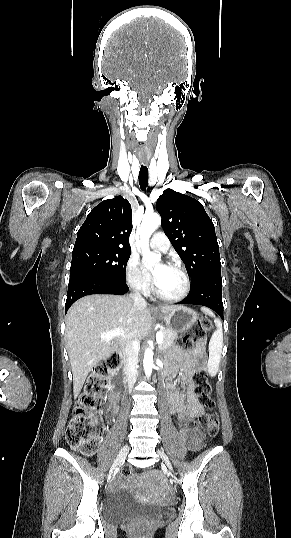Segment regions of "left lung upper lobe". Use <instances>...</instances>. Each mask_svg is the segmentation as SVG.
<instances>
[{"label":"left lung upper lobe","mask_w":291,"mask_h":538,"mask_svg":"<svg viewBox=\"0 0 291 538\" xmlns=\"http://www.w3.org/2000/svg\"><path fill=\"white\" fill-rule=\"evenodd\" d=\"M156 209L162 217L163 230L184 262L192 283L206 274L221 271L214 224L200 202L166 189L159 196Z\"/></svg>","instance_id":"left-lung-upper-lobe-1"}]
</instances>
